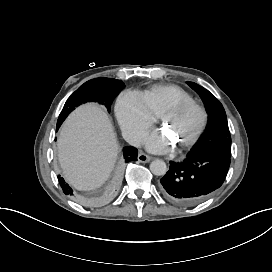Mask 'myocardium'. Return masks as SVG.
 <instances>
[{
    "mask_svg": "<svg viewBox=\"0 0 272 272\" xmlns=\"http://www.w3.org/2000/svg\"><path fill=\"white\" fill-rule=\"evenodd\" d=\"M191 110L197 113V121L193 128L191 129L187 138L183 141L184 146L192 144L199 135L201 129L203 128L206 120V112L204 108L198 105L197 103L190 101H173L163 110L161 114V119L163 120L166 113L169 112L179 113Z\"/></svg>",
    "mask_w": 272,
    "mask_h": 272,
    "instance_id": "obj_1",
    "label": "myocardium"
}]
</instances>
